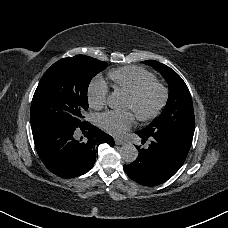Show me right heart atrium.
Wrapping results in <instances>:
<instances>
[{
	"label": "right heart atrium",
	"mask_w": 228,
	"mask_h": 228,
	"mask_svg": "<svg viewBox=\"0 0 228 228\" xmlns=\"http://www.w3.org/2000/svg\"><path fill=\"white\" fill-rule=\"evenodd\" d=\"M108 88L102 81L93 83L88 91L89 106L93 109L99 110L107 103Z\"/></svg>",
	"instance_id": "d8ad5b80"
}]
</instances>
